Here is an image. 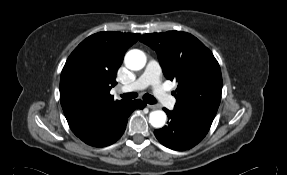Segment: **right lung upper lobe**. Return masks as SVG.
Segmentation results:
<instances>
[{"mask_svg": "<svg viewBox=\"0 0 287 175\" xmlns=\"http://www.w3.org/2000/svg\"><path fill=\"white\" fill-rule=\"evenodd\" d=\"M140 34L99 32L82 41L68 57L60 78V102L75 135L95 126L117 105L109 93L126 50Z\"/></svg>", "mask_w": 287, "mask_h": 175, "instance_id": "obj_1", "label": "right lung upper lobe"}]
</instances>
